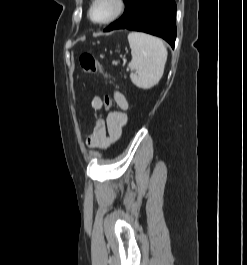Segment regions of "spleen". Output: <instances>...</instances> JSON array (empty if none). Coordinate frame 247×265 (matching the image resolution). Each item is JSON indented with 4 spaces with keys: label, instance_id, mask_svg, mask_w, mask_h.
<instances>
[{
    "label": "spleen",
    "instance_id": "3e777b00",
    "mask_svg": "<svg viewBox=\"0 0 247 265\" xmlns=\"http://www.w3.org/2000/svg\"><path fill=\"white\" fill-rule=\"evenodd\" d=\"M128 41L132 55L130 79L137 87L150 89L163 75L167 60L166 46L161 39L141 32L129 33ZM133 70L137 72L133 73Z\"/></svg>",
    "mask_w": 247,
    "mask_h": 265
}]
</instances>
